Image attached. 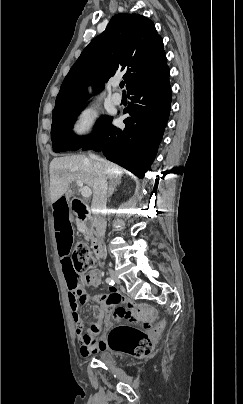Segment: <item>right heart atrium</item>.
<instances>
[{
	"instance_id": "d8ad5b80",
	"label": "right heart atrium",
	"mask_w": 243,
	"mask_h": 404,
	"mask_svg": "<svg viewBox=\"0 0 243 404\" xmlns=\"http://www.w3.org/2000/svg\"><path fill=\"white\" fill-rule=\"evenodd\" d=\"M100 115L93 105H84L76 109L68 125V135L75 142L92 140L98 131Z\"/></svg>"
}]
</instances>
